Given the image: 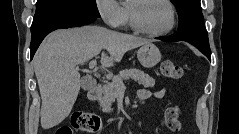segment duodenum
Listing matches in <instances>:
<instances>
[{
  "mask_svg": "<svg viewBox=\"0 0 239 134\" xmlns=\"http://www.w3.org/2000/svg\"><path fill=\"white\" fill-rule=\"evenodd\" d=\"M101 94V86L99 84L93 86L88 91V98L91 102H95Z\"/></svg>",
  "mask_w": 239,
  "mask_h": 134,
  "instance_id": "1",
  "label": "duodenum"
}]
</instances>
